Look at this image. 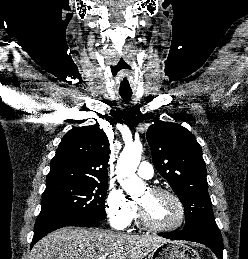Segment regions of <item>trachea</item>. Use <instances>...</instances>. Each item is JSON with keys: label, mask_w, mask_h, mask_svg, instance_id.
<instances>
[{"label": "trachea", "mask_w": 248, "mask_h": 259, "mask_svg": "<svg viewBox=\"0 0 248 259\" xmlns=\"http://www.w3.org/2000/svg\"><path fill=\"white\" fill-rule=\"evenodd\" d=\"M120 96L122 97V99L125 102H129L130 99H131L132 93L131 92H129V93H120Z\"/></svg>", "instance_id": "trachea-1"}]
</instances>
